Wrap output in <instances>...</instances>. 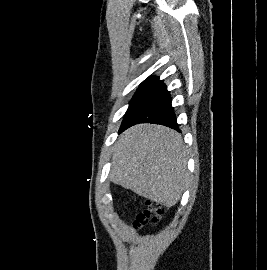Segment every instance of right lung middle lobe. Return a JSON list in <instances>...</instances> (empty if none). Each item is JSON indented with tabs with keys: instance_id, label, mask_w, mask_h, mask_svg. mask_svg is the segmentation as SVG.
<instances>
[{
	"instance_id": "1",
	"label": "right lung middle lobe",
	"mask_w": 267,
	"mask_h": 270,
	"mask_svg": "<svg viewBox=\"0 0 267 270\" xmlns=\"http://www.w3.org/2000/svg\"><path fill=\"white\" fill-rule=\"evenodd\" d=\"M154 77H150L148 79H146L138 88L137 92L135 93V95L133 96L132 100L129 103V108L127 110V112L129 111V109L138 101V99L146 92V90L150 87L151 83L153 82ZM126 112V114H127ZM125 114V116H126ZM125 120V117H124ZM123 120V122H124ZM123 124V123H122Z\"/></svg>"
}]
</instances>
